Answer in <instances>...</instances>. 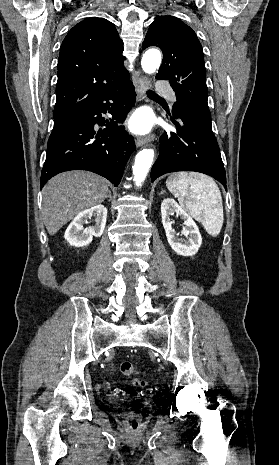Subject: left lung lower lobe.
I'll list each match as a JSON object with an SVG mask.
<instances>
[{"label":"left lung lower lobe","instance_id":"0a47b994","mask_svg":"<svg viewBox=\"0 0 279 465\" xmlns=\"http://www.w3.org/2000/svg\"><path fill=\"white\" fill-rule=\"evenodd\" d=\"M171 118L177 132L160 138V153L152 166V182L159 176L176 171H196L212 176L226 187V175L217 140L212 128L191 116Z\"/></svg>","mask_w":279,"mask_h":465}]
</instances>
